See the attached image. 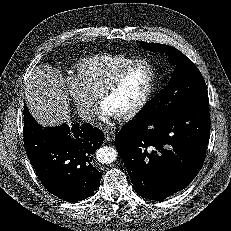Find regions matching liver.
Wrapping results in <instances>:
<instances>
[{
    "label": "liver",
    "instance_id": "1",
    "mask_svg": "<svg viewBox=\"0 0 231 231\" xmlns=\"http://www.w3.org/2000/svg\"><path fill=\"white\" fill-rule=\"evenodd\" d=\"M25 101L43 127L70 122L69 98L63 78L51 66L40 65L32 71L25 88Z\"/></svg>",
    "mask_w": 231,
    "mask_h": 231
}]
</instances>
